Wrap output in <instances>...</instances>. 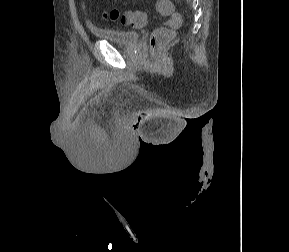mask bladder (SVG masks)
Segmentation results:
<instances>
[{"label": "bladder", "instance_id": "obj_1", "mask_svg": "<svg viewBox=\"0 0 289 252\" xmlns=\"http://www.w3.org/2000/svg\"><path fill=\"white\" fill-rule=\"evenodd\" d=\"M92 33L99 40H105L127 47L136 45L140 39V34L135 31L109 28H92Z\"/></svg>", "mask_w": 289, "mask_h": 252}]
</instances>
